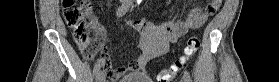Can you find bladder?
Instances as JSON below:
<instances>
[{"label":"bladder","mask_w":279,"mask_h":82,"mask_svg":"<svg viewBox=\"0 0 279 82\" xmlns=\"http://www.w3.org/2000/svg\"><path fill=\"white\" fill-rule=\"evenodd\" d=\"M115 82H153L146 72H131Z\"/></svg>","instance_id":"bladder-1"}]
</instances>
